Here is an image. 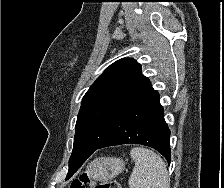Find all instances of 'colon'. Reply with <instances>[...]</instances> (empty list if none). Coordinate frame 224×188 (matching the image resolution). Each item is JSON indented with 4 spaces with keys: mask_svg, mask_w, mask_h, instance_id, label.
<instances>
[{
    "mask_svg": "<svg viewBox=\"0 0 224 188\" xmlns=\"http://www.w3.org/2000/svg\"><path fill=\"white\" fill-rule=\"evenodd\" d=\"M69 188H122L116 181L105 180L101 182H94L90 175L85 172L78 179L70 183Z\"/></svg>",
    "mask_w": 224,
    "mask_h": 188,
    "instance_id": "obj_1",
    "label": "colon"
}]
</instances>
